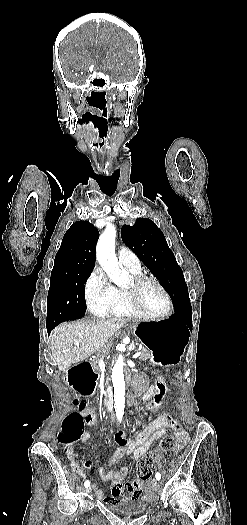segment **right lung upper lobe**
Instances as JSON below:
<instances>
[{
    "instance_id": "1",
    "label": "right lung upper lobe",
    "mask_w": 247,
    "mask_h": 525,
    "mask_svg": "<svg viewBox=\"0 0 247 525\" xmlns=\"http://www.w3.org/2000/svg\"><path fill=\"white\" fill-rule=\"evenodd\" d=\"M97 229L88 221L75 222L65 233L52 271H92Z\"/></svg>"
}]
</instances>
